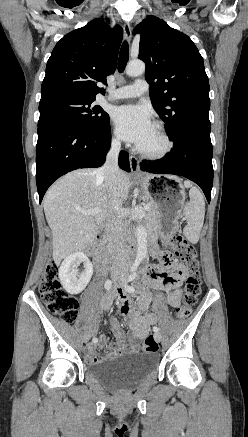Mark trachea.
Listing matches in <instances>:
<instances>
[{"label":"trachea","mask_w":248,"mask_h":437,"mask_svg":"<svg viewBox=\"0 0 248 437\" xmlns=\"http://www.w3.org/2000/svg\"><path fill=\"white\" fill-rule=\"evenodd\" d=\"M128 59H129V45L127 41H124L121 46L119 59H118V71L120 73L124 71Z\"/></svg>","instance_id":"1"}]
</instances>
